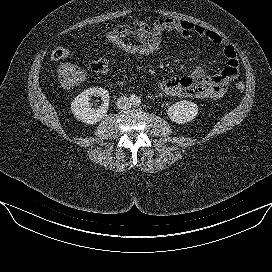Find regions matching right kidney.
Here are the masks:
<instances>
[{
	"mask_svg": "<svg viewBox=\"0 0 272 272\" xmlns=\"http://www.w3.org/2000/svg\"><path fill=\"white\" fill-rule=\"evenodd\" d=\"M100 96L102 104L95 109L89 102L91 96ZM109 106V93L103 88H89L79 94L71 103V112L78 121L86 124H95L99 122L107 113Z\"/></svg>",
	"mask_w": 272,
	"mask_h": 272,
	"instance_id": "ca27d5eb",
	"label": "right kidney"
}]
</instances>
